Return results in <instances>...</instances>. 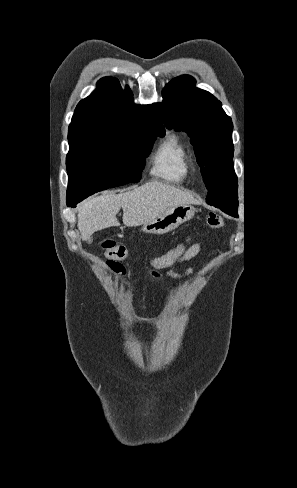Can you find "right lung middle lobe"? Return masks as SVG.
Segmentation results:
<instances>
[{"label": "right lung middle lobe", "mask_w": 297, "mask_h": 488, "mask_svg": "<svg viewBox=\"0 0 297 488\" xmlns=\"http://www.w3.org/2000/svg\"><path fill=\"white\" fill-rule=\"evenodd\" d=\"M160 131L143 127L126 136L69 144L67 206L108 188L141 179L145 158Z\"/></svg>", "instance_id": "right-lung-middle-lobe-1"}]
</instances>
